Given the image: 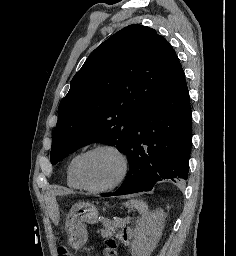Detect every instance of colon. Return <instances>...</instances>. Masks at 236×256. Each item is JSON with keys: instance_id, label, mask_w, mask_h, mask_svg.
Segmentation results:
<instances>
[{"instance_id": "colon-1", "label": "colon", "mask_w": 236, "mask_h": 256, "mask_svg": "<svg viewBox=\"0 0 236 256\" xmlns=\"http://www.w3.org/2000/svg\"><path fill=\"white\" fill-rule=\"evenodd\" d=\"M58 256H69L67 248L60 244ZM103 256H116V236L114 233L104 241Z\"/></svg>"}]
</instances>
